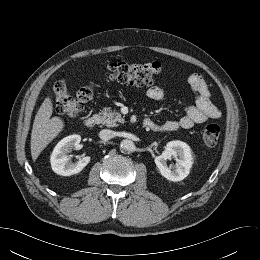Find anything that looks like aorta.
Wrapping results in <instances>:
<instances>
[{
    "label": "aorta",
    "mask_w": 260,
    "mask_h": 260,
    "mask_svg": "<svg viewBox=\"0 0 260 260\" xmlns=\"http://www.w3.org/2000/svg\"><path fill=\"white\" fill-rule=\"evenodd\" d=\"M120 149L122 151H126V152H132L135 150V144L132 140L129 139H124L121 143H120Z\"/></svg>",
    "instance_id": "762f6f07"
}]
</instances>
